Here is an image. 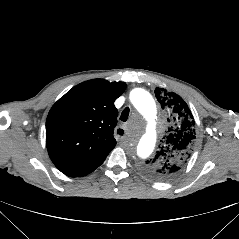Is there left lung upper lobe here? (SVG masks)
Masks as SVG:
<instances>
[{
    "mask_svg": "<svg viewBox=\"0 0 239 239\" xmlns=\"http://www.w3.org/2000/svg\"><path fill=\"white\" fill-rule=\"evenodd\" d=\"M155 95L170 124L168 135L154 158L142 165V171L160 181L176 177L187 165L195 143V120L184 100L164 88H156Z\"/></svg>",
    "mask_w": 239,
    "mask_h": 239,
    "instance_id": "5c2ea615",
    "label": "left lung upper lobe"
}]
</instances>
